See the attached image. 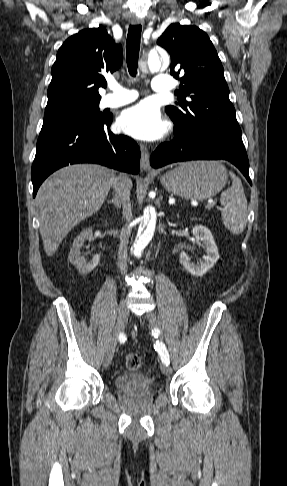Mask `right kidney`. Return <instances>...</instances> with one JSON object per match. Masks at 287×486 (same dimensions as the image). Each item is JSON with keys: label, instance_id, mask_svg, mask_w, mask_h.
Listing matches in <instances>:
<instances>
[{"label": "right kidney", "instance_id": "ca27d5eb", "mask_svg": "<svg viewBox=\"0 0 287 486\" xmlns=\"http://www.w3.org/2000/svg\"><path fill=\"white\" fill-rule=\"evenodd\" d=\"M92 228L84 229L75 239L70 249L69 253V261L76 267V269L81 274H86L91 272L100 261V257L98 255H94L93 259L89 262L85 260L84 257L80 255V249L84 245L86 240L92 239Z\"/></svg>", "mask_w": 287, "mask_h": 486}]
</instances>
